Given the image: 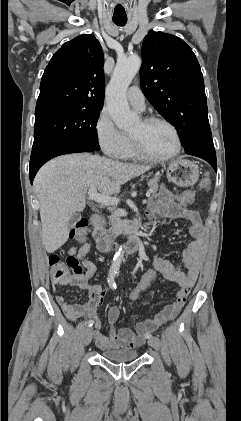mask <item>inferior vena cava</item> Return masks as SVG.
<instances>
[{
    "instance_id": "602c4592",
    "label": "inferior vena cava",
    "mask_w": 241,
    "mask_h": 421,
    "mask_svg": "<svg viewBox=\"0 0 241 421\" xmlns=\"http://www.w3.org/2000/svg\"><path fill=\"white\" fill-rule=\"evenodd\" d=\"M101 223L104 225V224H106V222H105V220H104V218L103 219H101Z\"/></svg>"
}]
</instances>
